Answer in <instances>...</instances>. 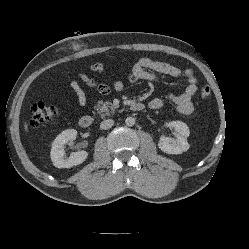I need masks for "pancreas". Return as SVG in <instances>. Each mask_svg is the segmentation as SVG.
Listing matches in <instances>:
<instances>
[{
    "instance_id": "1",
    "label": "pancreas",
    "mask_w": 249,
    "mask_h": 249,
    "mask_svg": "<svg viewBox=\"0 0 249 249\" xmlns=\"http://www.w3.org/2000/svg\"><path fill=\"white\" fill-rule=\"evenodd\" d=\"M118 108L117 105H113L111 102H103L99 101L96 110L98 113H103L105 115H108L110 112H114Z\"/></svg>"
}]
</instances>
